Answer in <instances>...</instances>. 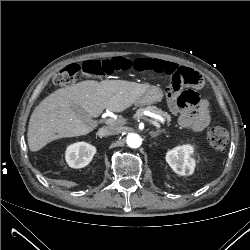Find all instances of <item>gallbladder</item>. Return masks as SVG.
<instances>
[{
	"label": "gallbladder",
	"mask_w": 250,
	"mask_h": 250,
	"mask_svg": "<svg viewBox=\"0 0 250 250\" xmlns=\"http://www.w3.org/2000/svg\"><path fill=\"white\" fill-rule=\"evenodd\" d=\"M72 109L78 117H80L83 120H87V113L82 107L78 105H73Z\"/></svg>",
	"instance_id": "1"
}]
</instances>
